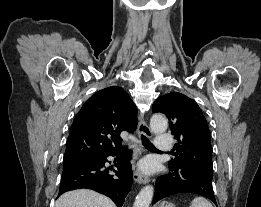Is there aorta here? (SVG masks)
Returning <instances> with one entry per match:
<instances>
[{
  "instance_id": "obj_1",
  "label": "aorta",
  "mask_w": 261,
  "mask_h": 207,
  "mask_svg": "<svg viewBox=\"0 0 261 207\" xmlns=\"http://www.w3.org/2000/svg\"><path fill=\"white\" fill-rule=\"evenodd\" d=\"M151 130L156 133H163L168 127V122L165 117L159 114L152 116L150 120ZM154 194V188L151 185L145 186L136 197L133 207H149Z\"/></svg>"
}]
</instances>
